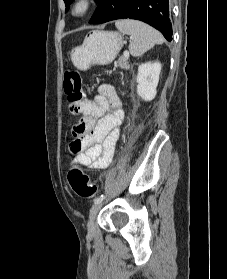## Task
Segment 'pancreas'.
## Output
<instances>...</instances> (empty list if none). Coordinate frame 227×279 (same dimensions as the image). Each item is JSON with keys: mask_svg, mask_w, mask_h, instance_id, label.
Masks as SVG:
<instances>
[{"mask_svg": "<svg viewBox=\"0 0 227 279\" xmlns=\"http://www.w3.org/2000/svg\"><path fill=\"white\" fill-rule=\"evenodd\" d=\"M116 66H119L120 68L126 69V70L130 69V65H129L128 61L125 58L119 59V61L116 64Z\"/></svg>", "mask_w": 227, "mask_h": 279, "instance_id": "pancreas-1", "label": "pancreas"}]
</instances>
